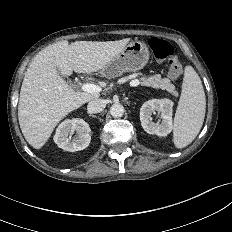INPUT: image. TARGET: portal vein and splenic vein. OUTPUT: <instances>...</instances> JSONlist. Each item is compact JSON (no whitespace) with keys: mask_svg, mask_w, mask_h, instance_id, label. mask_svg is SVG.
Segmentation results:
<instances>
[{"mask_svg":"<svg viewBox=\"0 0 232 232\" xmlns=\"http://www.w3.org/2000/svg\"><path fill=\"white\" fill-rule=\"evenodd\" d=\"M131 86L136 87L140 85V81L138 79L132 80L131 81ZM82 90L87 93H99L101 91V88L93 83H85L82 85Z\"/></svg>","mask_w":232,"mask_h":232,"instance_id":"18ae733b","label":"portal vein and splenic vein"}]
</instances>
